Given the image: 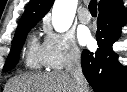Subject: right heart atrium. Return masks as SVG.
Returning <instances> with one entry per match:
<instances>
[{"label":"right heart atrium","instance_id":"1","mask_svg":"<svg viewBox=\"0 0 127 92\" xmlns=\"http://www.w3.org/2000/svg\"><path fill=\"white\" fill-rule=\"evenodd\" d=\"M43 65L49 70H61L81 59L74 36L68 32H55L45 26V38L41 46Z\"/></svg>","mask_w":127,"mask_h":92}]
</instances>
